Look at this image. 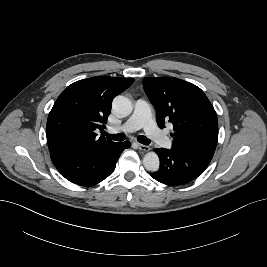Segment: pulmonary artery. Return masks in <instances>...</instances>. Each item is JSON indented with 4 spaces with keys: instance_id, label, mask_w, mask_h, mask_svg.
I'll use <instances>...</instances> for the list:
<instances>
[{
    "instance_id": "pulmonary-artery-1",
    "label": "pulmonary artery",
    "mask_w": 267,
    "mask_h": 267,
    "mask_svg": "<svg viewBox=\"0 0 267 267\" xmlns=\"http://www.w3.org/2000/svg\"><path fill=\"white\" fill-rule=\"evenodd\" d=\"M141 128L158 145L164 148L171 147V140L154 123L151 106L144 99H138L136 101L133 114L123 125L111 127L109 128V132H134Z\"/></svg>"
}]
</instances>
